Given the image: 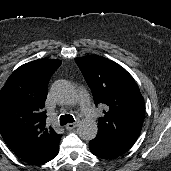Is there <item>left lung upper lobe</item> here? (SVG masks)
<instances>
[{"label": "left lung upper lobe", "instance_id": "left-lung-upper-lobe-1", "mask_svg": "<svg viewBox=\"0 0 171 171\" xmlns=\"http://www.w3.org/2000/svg\"><path fill=\"white\" fill-rule=\"evenodd\" d=\"M96 105L103 104L98 135L130 149L145 117L144 99L133 77L117 63L98 56L75 58Z\"/></svg>", "mask_w": 171, "mask_h": 171}]
</instances>
